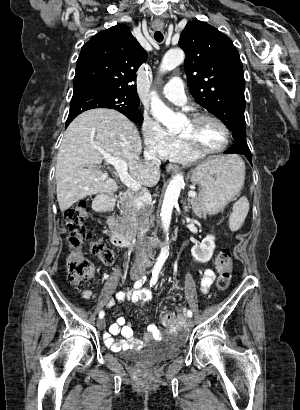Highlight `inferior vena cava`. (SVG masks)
Here are the masks:
<instances>
[{"mask_svg": "<svg viewBox=\"0 0 300 410\" xmlns=\"http://www.w3.org/2000/svg\"><path fill=\"white\" fill-rule=\"evenodd\" d=\"M147 162L156 169L160 168V160L154 155L150 153L146 155ZM151 201L150 193L144 189L143 192L134 200V206L137 209V223H138V237L143 244H151L153 241L148 237H144L145 234L150 229V220L149 217L151 216V209L149 203ZM151 257V252L149 251V247H144L137 255L133 265V269H141L145 270L149 258Z\"/></svg>", "mask_w": 300, "mask_h": 410, "instance_id": "inferior-vena-cava-1", "label": "inferior vena cava"}]
</instances>
